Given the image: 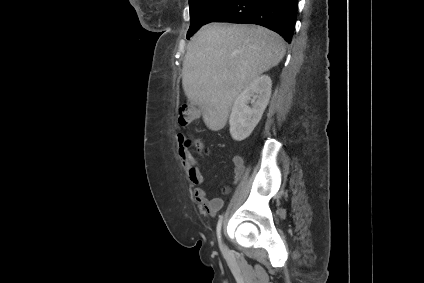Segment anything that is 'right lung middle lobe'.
Wrapping results in <instances>:
<instances>
[{"label": "right lung middle lobe", "mask_w": 424, "mask_h": 283, "mask_svg": "<svg viewBox=\"0 0 424 283\" xmlns=\"http://www.w3.org/2000/svg\"><path fill=\"white\" fill-rule=\"evenodd\" d=\"M229 0H189L190 6V28L187 33L189 39L199 28L220 9H222Z\"/></svg>", "instance_id": "dd1d6c3e"}]
</instances>
